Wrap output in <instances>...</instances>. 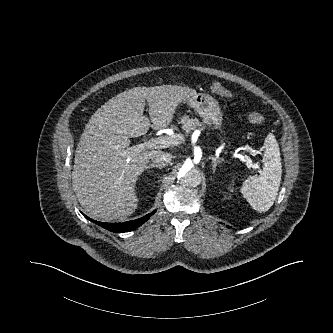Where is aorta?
Instances as JSON below:
<instances>
[{
    "instance_id": "obj_1",
    "label": "aorta",
    "mask_w": 333,
    "mask_h": 333,
    "mask_svg": "<svg viewBox=\"0 0 333 333\" xmlns=\"http://www.w3.org/2000/svg\"><path fill=\"white\" fill-rule=\"evenodd\" d=\"M178 179L186 186L196 187L201 182V174L192 163L185 162L179 169Z\"/></svg>"
}]
</instances>
